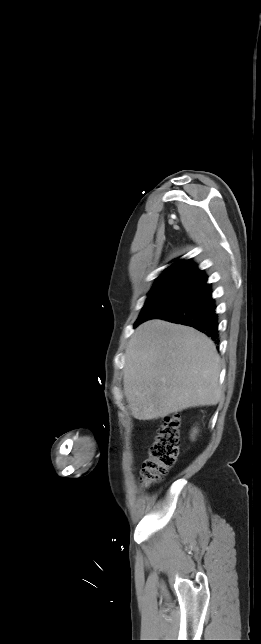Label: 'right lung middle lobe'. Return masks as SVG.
Returning a JSON list of instances; mask_svg holds the SVG:
<instances>
[{"instance_id":"dd1d6c3e","label":"right lung middle lobe","mask_w":261,"mask_h":644,"mask_svg":"<svg viewBox=\"0 0 261 644\" xmlns=\"http://www.w3.org/2000/svg\"><path fill=\"white\" fill-rule=\"evenodd\" d=\"M202 285L180 280L156 282L134 326L159 318L190 300Z\"/></svg>"}]
</instances>
